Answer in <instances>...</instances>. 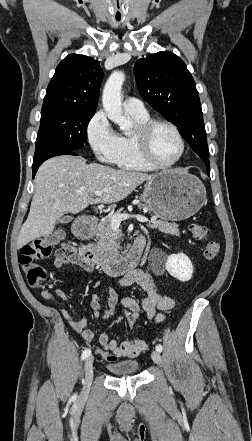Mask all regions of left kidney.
Instances as JSON below:
<instances>
[{
	"mask_svg": "<svg viewBox=\"0 0 252 441\" xmlns=\"http://www.w3.org/2000/svg\"><path fill=\"white\" fill-rule=\"evenodd\" d=\"M165 267L168 273L180 282H187L192 277V262L183 253L168 256Z\"/></svg>",
	"mask_w": 252,
	"mask_h": 441,
	"instance_id": "obj_1",
	"label": "left kidney"
}]
</instances>
